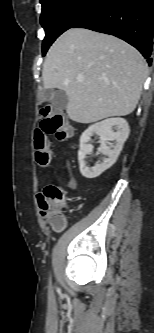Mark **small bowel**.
<instances>
[{"label": "small bowel", "mask_w": 154, "mask_h": 333, "mask_svg": "<svg viewBox=\"0 0 154 333\" xmlns=\"http://www.w3.org/2000/svg\"><path fill=\"white\" fill-rule=\"evenodd\" d=\"M69 186L73 189L76 187V180L73 176H70Z\"/></svg>", "instance_id": "obj_1"}]
</instances>
